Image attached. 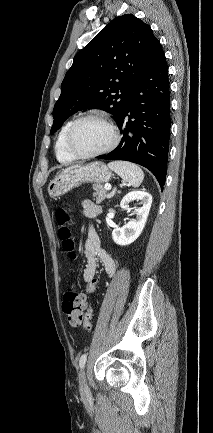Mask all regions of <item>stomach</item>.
<instances>
[{
  "label": "stomach",
  "mask_w": 213,
  "mask_h": 433,
  "mask_svg": "<svg viewBox=\"0 0 213 433\" xmlns=\"http://www.w3.org/2000/svg\"><path fill=\"white\" fill-rule=\"evenodd\" d=\"M112 176L111 171L102 162L75 165L63 170L48 185L49 195L59 197L85 182L106 183Z\"/></svg>",
  "instance_id": "0dacf381"
}]
</instances>
